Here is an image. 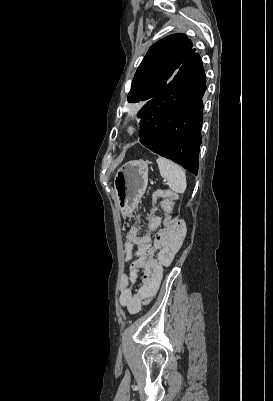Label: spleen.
<instances>
[{
    "instance_id": "3e777b00",
    "label": "spleen",
    "mask_w": 273,
    "mask_h": 401,
    "mask_svg": "<svg viewBox=\"0 0 273 401\" xmlns=\"http://www.w3.org/2000/svg\"><path fill=\"white\" fill-rule=\"evenodd\" d=\"M156 162H158L161 176L166 178L167 184H169L171 190H175V192H185L187 182L183 168L175 164V162H172V160L163 158V156H159Z\"/></svg>"
}]
</instances>
